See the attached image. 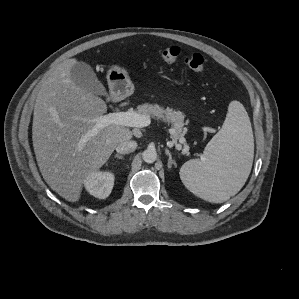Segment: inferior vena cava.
Here are the masks:
<instances>
[{"label":"inferior vena cava","mask_w":299,"mask_h":299,"mask_svg":"<svg viewBox=\"0 0 299 299\" xmlns=\"http://www.w3.org/2000/svg\"><path fill=\"white\" fill-rule=\"evenodd\" d=\"M136 147L137 143L135 141L125 140L116 146V151L120 154H128L133 152Z\"/></svg>","instance_id":"inferior-vena-cava-1"}]
</instances>
